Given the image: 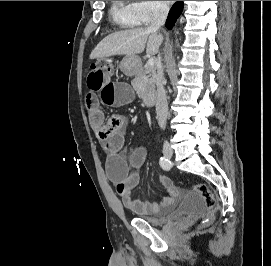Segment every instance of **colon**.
I'll list each match as a JSON object with an SVG mask.
<instances>
[{"label": "colon", "mask_w": 271, "mask_h": 266, "mask_svg": "<svg viewBox=\"0 0 271 266\" xmlns=\"http://www.w3.org/2000/svg\"><path fill=\"white\" fill-rule=\"evenodd\" d=\"M93 67L102 69L106 72H113L115 68L114 61L111 58H102L97 60ZM193 191L196 192L204 201L208 211L210 213L214 212L217 207V201L210 189L206 184L197 183L192 187ZM210 221V217L208 216L205 220V223Z\"/></svg>", "instance_id": "1"}]
</instances>
